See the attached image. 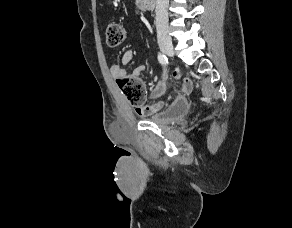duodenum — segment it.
I'll return each mask as SVG.
<instances>
[{"instance_id":"1","label":"duodenum","mask_w":292,"mask_h":228,"mask_svg":"<svg viewBox=\"0 0 292 228\" xmlns=\"http://www.w3.org/2000/svg\"><path fill=\"white\" fill-rule=\"evenodd\" d=\"M138 1V6L142 10H151L154 8L155 5V0H137Z\"/></svg>"}]
</instances>
